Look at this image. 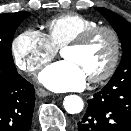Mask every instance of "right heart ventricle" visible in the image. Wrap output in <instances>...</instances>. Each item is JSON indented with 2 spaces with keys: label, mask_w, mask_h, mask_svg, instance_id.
Listing matches in <instances>:
<instances>
[{
  "label": "right heart ventricle",
  "mask_w": 131,
  "mask_h": 131,
  "mask_svg": "<svg viewBox=\"0 0 131 131\" xmlns=\"http://www.w3.org/2000/svg\"><path fill=\"white\" fill-rule=\"evenodd\" d=\"M97 25L95 20L80 14H63L46 22V37L55 49H61L82 32Z\"/></svg>",
  "instance_id": "1"
}]
</instances>
